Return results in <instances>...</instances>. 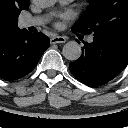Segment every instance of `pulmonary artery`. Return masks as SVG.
<instances>
[{"mask_svg":"<svg viewBox=\"0 0 128 128\" xmlns=\"http://www.w3.org/2000/svg\"><path fill=\"white\" fill-rule=\"evenodd\" d=\"M74 0H60L62 4H68ZM47 17H25L21 20L22 27H32L44 24L47 21ZM89 42L93 41V37L88 38Z\"/></svg>","mask_w":128,"mask_h":128,"instance_id":"obj_1","label":"pulmonary artery"}]
</instances>
